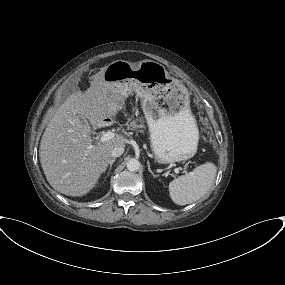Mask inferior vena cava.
<instances>
[{
  "instance_id": "obj_1",
  "label": "inferior vena cava",
  "mask_w": 285,
  "mask_h": 285,
  "mask_svg": "<svg viewBox=\"0 0 285 285\" xmlns=\"http://www.w3.org/2000/svg\"><path fill=\"white\" fill-rule=\"evenodd\" d=\"M123 153H124V147L116 146L113 148L111 156L115 158L121 156Z\"/></svg>"
}]
</instances>
